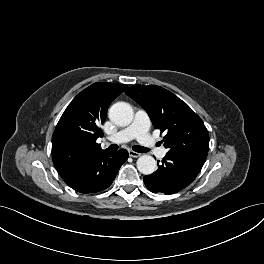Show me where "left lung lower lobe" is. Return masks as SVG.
I'll list each match as a JSON object with an SVG mask.
<instances>
[{
	"label": "left lung lower lobe",
	"instance_id": "1",
	"mask_svg": "<svg viewBox=\"0 0 264 264\" xmlns=\"http://www.w3.org/2000/svg\"><path fill=\"white\" fill-rule=\"evenodd\" d=\"M204 164L180 154L167 153L155 173L143 181L153 193L174 194L193 182Z\"/></svg>",
	"mask_w": 264,
	"mask_h": 264
}]
</instances>
